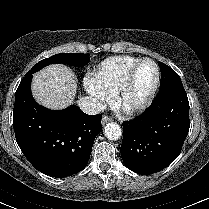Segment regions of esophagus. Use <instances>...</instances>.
Listing matches in <instances>:
<instances>
[{"label": "esophagus", "instance_id": "34e87169", "mask_svg": "<svg viewBox=\"0 0 209 209\" xmlns=\"http://www.w3.org/2000/svg\"><path fill=\"white\" fill-rule=\"evenodd\" d=\"M112 121V118L107 116V115H104L102 117V125L104 126L105 124H107L108 122Z\"/></svg>", "mask_w": 209, "mask_h": 209}]
</instances>
